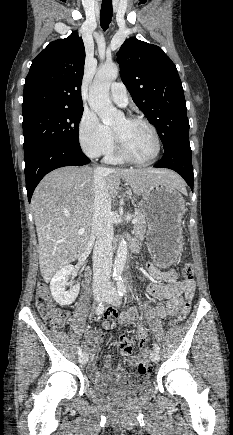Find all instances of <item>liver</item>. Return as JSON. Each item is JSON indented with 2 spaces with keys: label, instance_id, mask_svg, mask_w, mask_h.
Segmentation results:
<instances>
[{
  "label": "liver",
  "instance_id": "6515ba94",
  "mask_svg": "<svg viewBox=\"0 0 233 435\" xmlns=\"http://www.w3.org/2000/svg\"><path fill=\"white\" fill-rule=\"evenodd\" d=\"M95 169L66 166L53 170L38 184L31 207L38 236L40 272L49 282L64 266L85 251L90 236L94 206ZM110 197L118 194L120 179L137 195L161 182L185 192L180 176L170 170L108 169L103 174ZM84 228V232L78 231Z\"/></svg>",
  "mask_w": 233,
  "mask_h": 435
}]
</instances>
